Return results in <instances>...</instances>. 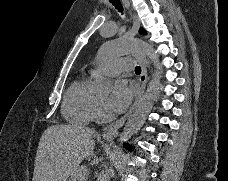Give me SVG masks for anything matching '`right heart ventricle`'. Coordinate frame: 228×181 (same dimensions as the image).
Segmentation results:
<instances>
[{"label":"right heart ventricle","instance_id":"obj_1","mask_svg":"<svg viewBox=\"0 0 228 181\" xmlns=\"http://www.w3.org/2000/svg\"><path fill=\"white\" fill-rule=\"evenodd\" d=\"M94 77V71L88 69L79 73L72 82L63 104V114L68 121L86 123L94 118L99 104L92 91Z\"/></svg>","mask_w":228,"mask_h":181}]
</instances>
